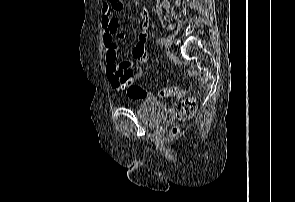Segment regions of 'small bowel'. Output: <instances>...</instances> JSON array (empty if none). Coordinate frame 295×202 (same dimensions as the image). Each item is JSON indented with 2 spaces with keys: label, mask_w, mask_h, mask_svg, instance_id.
I'll list each match as a JSON object with an SVG mask.
<instances>
[{
  "label": "small bowel",
  "mask_w": 295,
  "mask_h": 202,
  "mask_svg": "<svg viewBox=\"0 0 295 202\" xmlns=\"http://www.w3.org/2000/svg\"><path fill=\"white\" fill-rule=\"evenodd\" d=\"M123 7L116 8L110 0H104L102 4L101 26L103 29V44L106 49L107 76L111 84L120 89L121 72L128 70L135 78L142 75L141 69H134V63H146L148 55L145 52L147 42L148 11H142V28L138 34V42L130 50V57L121 58L118 53L117 42L121 38L118 29V19L114 12L120 11Z\"/></svg>",
  "instance_id": "obj_1"
}]
</instances>
